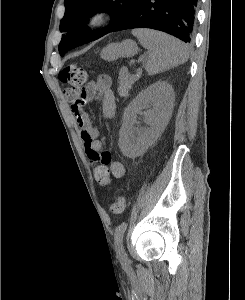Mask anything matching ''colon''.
I'll list each match as a JSON object with an SVG mask.
<instances>
[{
	"mask_svg": "<svg viewBox=\"0 0 245 300\" xmlns=\"http://www.w3.org/2000/svg\"><path fill=\"white\" fill-rule=\"evenodd\" d=\"M59 79L64 84H68L64 91L66 99L75 102L79 98L84 86L87 82L86 71L75 63L67 65L60 73ZM126 207L125 200L122 196L115 197L110 210L114 214H121Z\"/></svg>",
	"mask_w": 245,
	"mask_h": 300,
	"instance_id": "colon-1",
	"label": "colon"
}]
</instances>
